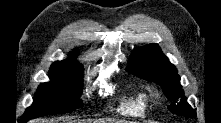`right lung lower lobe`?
Wrapping results in <instances>:
<instances>
[{"label":"right lung lower lobe","instance_id":"1","mask_svg":"<svg viewBox=\"0 0 221 123\" xmlns=\"http://www.w3.org/2000/svg\"><path fill=\"white\" fill-rule=\"evenodd\" d=\"M23 120L24 121H28V120H30L29 118H25L24 116H23Z\"/></svg>","mask_w":221,"mask_h":123}]
</instances>
